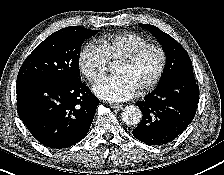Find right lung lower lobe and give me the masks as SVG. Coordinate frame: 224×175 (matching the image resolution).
<instances>
[{
	"label": "right lung lower lobe",
	"mask_w": 224,
	"mask_h": 175,
	"mask_svg": "<svg viewBox=\"0 0 224 175\" xmlns=\"http://www.w3.org/2000/svg\"><path fill=\"white\" fill-rule=\"evenodd\" d=\"M17 112L30 133L46 147L75 145L88 133L99 99L81 81L61 83L17 79Z\"/></svg>",
	"instance_id": "98d812e1"
}]
</instances>
